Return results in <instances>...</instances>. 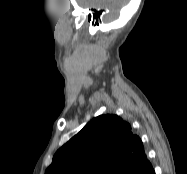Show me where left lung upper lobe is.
<instances>
[{
	"label": "left lung upper lobe",
	"mask_w": 187,
	"mask_h": 174,
	"mask_svg": "<svg viewBox=\"0 0 187 174\" xmlns=\"http://www.w3.org/2000/svg\"><path fill=\"white\" fill-rule=\"evenodd\" d=\"M149 164L130 125L107 114L91 120L63 145L45 174H132Z\"/></svg>",
	"instance_id": "left-lung-upper-lobe-1"
}]
</instances>
